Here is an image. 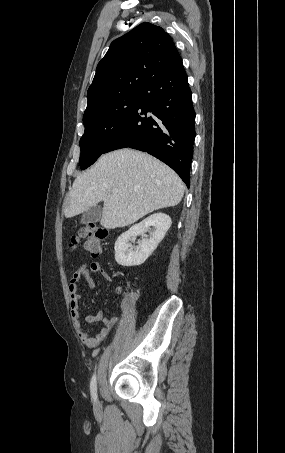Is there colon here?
Wrapping results in <instances>:
<instances>
[{"label":"colon","mask_w":285,"mask_h":453,"mask_svg":"<svg viewBox=\"0 0 285 453\" xmlns=\"http://www.w3.org/2000/svg\"><path fill=\"white\" fill-rule=\"evenodd\" d=\"M107 236L108 231L104 227L91 223L79 228L71 239L70 247L75 249L83 241L84 249L93 257H97L101 252V244ZM133 298V294L127 295L124 301L125 305H130Z\"/></svg>","instance_id":"5ec220e1"}]
</instances>
